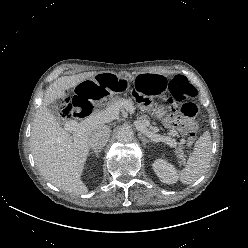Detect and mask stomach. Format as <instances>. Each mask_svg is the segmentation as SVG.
Listing matches in <instances>:
<instances>
[{"label":"stomach","mask_w":248,"mask_h":248,"mask_svg":"<svg viewBox=\"0 0 248 248\" xmlns=\"http://www.w3.org/2000/svg\"><path fill=\"white\" fill-rule=\"evenodd\" d=\"M134 81L149 95L159 97L167 89V78L161 73L141 72L134 76ZM130 79L114 72H99L92 79L77 86L73 92L75 101L81 105H88L102 99L107 94H117L129 87ZM163 106L154 109L153 115L161 119L166 114Z\"/></svg>","instance_id":"0dacf381"}]
</instances>
